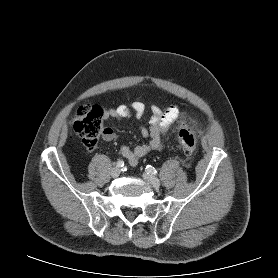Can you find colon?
I'll use <instances>...</instances> for the list:
<instances>
[{
  "instance_id": "1",
  "label": "colon",
  "mask_w": 278,
  "mask_h": 278,
  "mask_svg": "<svg viewBox=\"0 0 278 278\" xmlns=\"http://www.w3.org/2000/svg\"><path fill=\"white\" fill-rule=\"evenodd\" d=\"M104 118L103 109L97 105H85L78 109L73 128L88 149H93L100 135L104 133ZM176 133L184 154L192 156L196 150V137L192 128L183 124Z\"/></svg>"
}]
</instances>
